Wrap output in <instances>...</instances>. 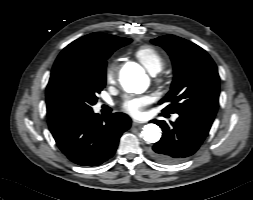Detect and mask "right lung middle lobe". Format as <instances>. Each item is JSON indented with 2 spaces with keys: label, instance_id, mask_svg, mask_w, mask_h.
<instances>
[{
  "label": "right lung middle lobe",
  "instance_id": "right-lung-middle-lobe-1",
  "mask_svg": "<svg viewBox=\"0 0 253 200\" xmlns=\"http://www.w3.org/2000/svg\"><path fill=\"white\" fill-rule=\"evenodd\" d=\"M131 39L109 47L97 63L68 61L52 70L49 91L55 111L59 115L79 114L92 111L97 94L106 84V60L118 48Z\"/></svg>",
  "mask_w": 253,
  "mask_h": 200
}]
</instances>
